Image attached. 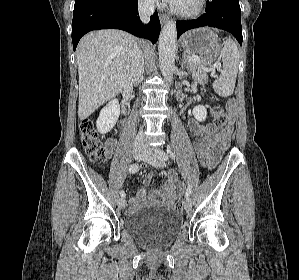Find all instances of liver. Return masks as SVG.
Wrapping results in <instances>:
<instances>
[{
  "instance_id": "obj_1",
  "label": "liver",
  "mask_w": 299,
  "mask_h": 280,
  "mask_svg": "<svg viewBox=\"0 0 299 280\" xmlns=\"http://www.w3.org/2000/svg\"><path fill=\"white\" fill-rule=\"evenodd\" d=\"M136 46L132 35L115 29L93 31L80 40L77 52L80 120L122 91Z\"/></svg>"
}]
</instances>
